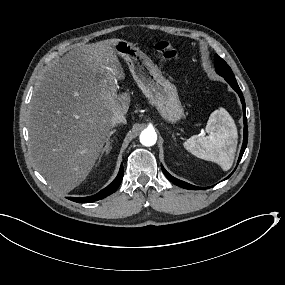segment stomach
Wrapping results in <instances>:
<instances>
[{
	"mask_svg": "<svg viewBox=\"0 0 285 285\" xmlns=\"http://www.w3.org/2000/svg\"><path fill=\"white\" fill-rule=\"evenodd\" d=\"M115 50L128 64L136 85L162 119L171 125L179 123L184 109L175 85L165 79L153 61L133 44L118 40Z\"/></svg>",
	"mask_w": 285,
	"mask_h": 285,
	"instance_id": "obj_1",
	"label": "stomach"
}]
</instances>
